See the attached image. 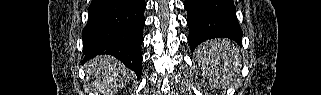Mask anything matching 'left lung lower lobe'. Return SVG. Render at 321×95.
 Here are the masks:
<instances>
[{
    "label": "left lung lower lobe",
    "instance_id": "0a47b994",
    "mask_svg": "<svg viewBox=\"0 0 321 95\" xmlns=\"http://www.w3.org/2000/svg\"><path fill=\"white\" fill-rule=\"evenodd\" d=\"M191 51L207 39L230 38L241 44L242 31L233 0H185Z\"/></svg>",
    "mask_w": 321,
    "mask_h": 95
}]
</instances>
